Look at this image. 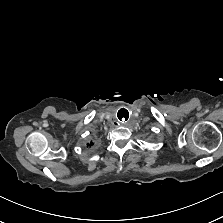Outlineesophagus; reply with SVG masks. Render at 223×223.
I'll return each mask as SVG.
<instances>
[{
    "mask_svg": "<svg viewBox=\"0 0 223 223\" xmlns=\"http://www.w3.org/2000/svg\"><path fill=\"white\" fill-rule=\"evenodd\" d=\"M116 119L119 123L121 124H126L130 121L131 119V114L128 110L126 109H121L117 112L116 114Z\"/></svg>",
    "mask_w": 223,
    "mask_h": 223,
    "instance_id": "1",
    "label": "esophagus"
}]
</instances>
